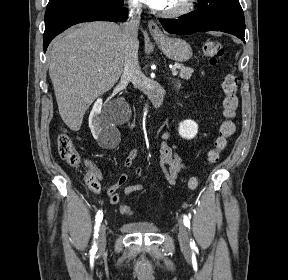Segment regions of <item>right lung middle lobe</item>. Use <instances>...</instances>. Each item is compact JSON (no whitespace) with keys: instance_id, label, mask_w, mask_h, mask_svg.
<instances>
[{"instance_id":"dd1d6c3e","label":"right lung middle lobe","mask_w":288,"mask_h":280,"mask_svg":"<svg viewBox=\"0 0 288 280\" xmlns=\"http://www.w3.org/2000/svg\"><path fill=\"white\" fill-rule=\"evenodd\" d=\"M54 1H56V0H50V2H54ZM108 1H110L112 3H116V4H121L124 2V0H108Z\"/></svg>"}]
</instances>
